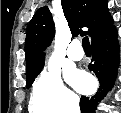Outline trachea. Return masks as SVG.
<instances>
[{
	"label": "trachea",
	"instance_id": "trachea-1",
	"mask_svg": "<svg viewBox=\"0 0 121 113\" xmlns=\"http://www.w3.org/2000/svg\"><path fill=\"white\" fill-rule=\"evenodd\" d=\"M82 45L84 50H91L90 48V42L88 37H84L82 40Z\"/></svg>",
	"mask_w": 121,
	"mask_h": 113
}]
</instances>
